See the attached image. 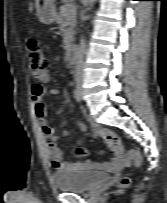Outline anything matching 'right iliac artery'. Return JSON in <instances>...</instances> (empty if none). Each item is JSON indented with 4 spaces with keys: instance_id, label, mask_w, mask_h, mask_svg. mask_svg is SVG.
<instances>
[{
    "instance_id": "right-iliac-artery-1",
    "label": "right iliac artery",
    "mask_w": 167,
    "mask_h": 203,
    "mask_svg": "<svg viewBox=\"0 0 167 203\" xmlns=\"http://www.w3.org/2000/svg\"><path fill=\"white\" fill-rule=\"evenodd\" d=\"M74 97H75L77 102H81L82 98H81V95H80V91L77 88L74 89Z\"/></svg>"
}]
</instances>
